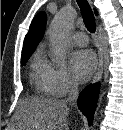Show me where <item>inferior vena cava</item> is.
<instances>
[{
    "label": "inferior vena cava",
    "mask_w": 123,
    "mask_h": 130,
    "mask_svg": "<svg viewBox=\"0 0 123 130\" xmlns=\"http://www.w3.org/2000/svg\"><path fill=\"white\" fill-rule=\"evenodd\" d=\"M79 95L78 85L74 82L70 83L68 97L65 100V103H71L77 101Z\"/></svg>",
    "instance_id": "obj_1"
}]
</instances>
